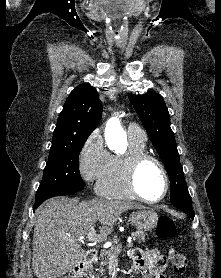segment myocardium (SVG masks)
Here are the masks:
<instances>
[{"label": "myocardium", "instance_id": "obj_1", "mask_svg": "<svg viewBox=\"0 0 221 278\" xmlns=\"http://www.w3.org/2000/svg\"><path fill=\"white\" fill-rule=\"evenodd\" d=\"M145 162L155 163L159 167L164 177V183H165L164 191L162 195L157 199L146 198L140 192L137 186V181H136L137 173L139 168ZM122 171H123V178H124L125 185L134 198L139 199L146 203L154 204V203L161 202L167 196L170 187L169 175L164 164L154 155L147 152L127 153L122 157Z\"/></svg>", "mask_w": 221, "mask_h": 278}]
</instances>
